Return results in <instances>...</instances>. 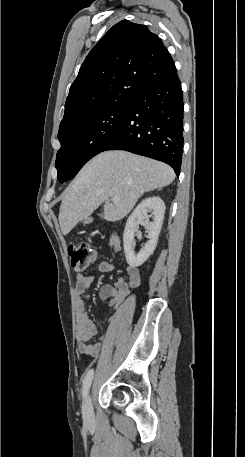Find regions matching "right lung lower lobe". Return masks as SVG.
I'll use <instances>...</instances> for the list:
<instances>
[{
	"label": "right lung lower lobe",
	"mask_w": 245,
	"mask_h": 457,
	"mask_svg": "<svg viewBox=\"0 0 245 457\" xmlns=\"http://www.w3.org/2000/svg\"><path fill=\"white\" fill-rule=\"evenodd\" d=\"M106 150H126L169 164L179 176L183 152V94L177 71L145 85Z\"/></svg>",
	"instance_id": "obj_1"
}]
</instances>
